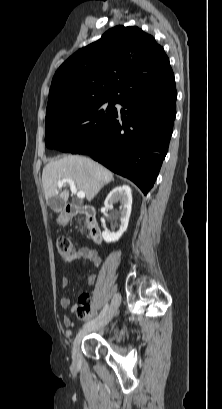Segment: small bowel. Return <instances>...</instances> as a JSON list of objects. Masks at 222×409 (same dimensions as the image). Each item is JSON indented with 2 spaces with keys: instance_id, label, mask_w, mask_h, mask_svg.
Returning <instances> with one entry per match:
<instances>
[{
  "instance_id": "c3829d8e",
  "label": "small bowel",
  "mask_w": 222,
  "mask_h": 409,
  "mask_svg": "<svg viewBox=\"0 0 222 409\" xmlns=\"http://www.w3.org/2000/svg\"><path fill=\"white\" fill-rule=\"evenodd\" d=\"M73 261H88L90 262L94 267H98L101 264V258L98 255V253L88 247H81L76 251L68 260L67 262H73ZM96 282V276L95 275H89L87 278V283L88 285L92 286ZM61 285L63 288L68 287L69 285V278L67 276H64L61 280ZM60 306L63 309H68L71 307V300L69 297L64 296L60 299ZM76 306L72 307V310H74ZM63 324L67 328L65 332V337L69 339L72 336V330L71 328L74 326L73 321L70 319L69 316H64L63 318Z\"/></svg>"
}]
</instances>
